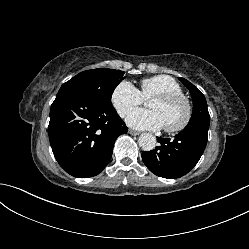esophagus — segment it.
<instances>
[{
	"mask_svg": "<svg viewBox=\"0 0 249 249\" xmlns=\"http://www.w3.org/2000/svg\"><path fill=\"white\" fill-rule=\"evenodd\" d=\"M128 133H129L130 135H139V132L134 131V130H131V129L128 130Z\"/></svg>",
	"mask_w": 249,
	"mask_h": 249,
	"instance_id": "esophagus-1",
	"label": "esophagus"
}]
</instances>
